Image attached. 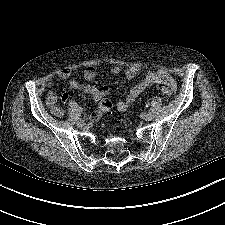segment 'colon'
I'll list each match as a JSON object with an SVG mask.
<instances>
[{"label": "colon", "mask_w": 225, "mask_h": 225, "mask_svg": "<svg viewBox=\"0 0 225 225\" xmlns=\"http://www.w3.org/2000/svg\"><path fill=\"white\" fill-rule=\"evenodd\" d=\"M161 91H162L163 95L166 96V97H169L171 95V89L167 86H163L161 88ZM104 105L108 106L109 105L108 101L105 100Z\"/></svg>", "instance_id": "5ec220e1"}]
</instances>
